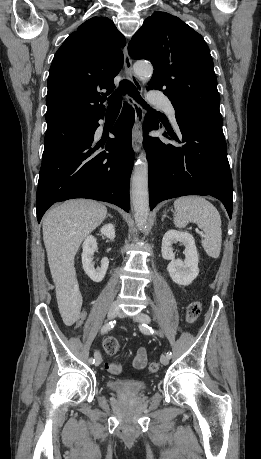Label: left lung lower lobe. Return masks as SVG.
Returning <instances> with one entry per match:
<instances>
[{"label": "left lung lower lobe", "mask_w": 261, "mask_h": 459, "mask_svg": "<svg viewBox=\"0 0 261 459\" xmlns=\"http://www.w3.org/2000/svg\"><path fill=\"white\" fill-rule=\"evenodd\" d=\"M178 137L173 129L163 136L176 144H164L145 136L148 158L150 210L166 199L184 195H211L232 216L233 185L227 159L222 120L176 118ZM158 119L147 114L145 132L161 128Z\"/></svg>", "instance_id": "obj_1"}]
</instances>
